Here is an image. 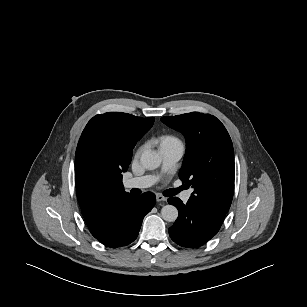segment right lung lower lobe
<instances>
[{
  "instance_id": "obj_1",
  "label": "right lung lower lobe",
  "mask_w": 307,
  "mask_h": 307,
  "mask_svg": "<svg viewBox=\"0 0 307 307\" xmlns=\"http://www.w3.org/2000/svg\"><path fill=\"white\" fill-rule=\"evenodd\" d=\"M154 204L155 196L151 192L135 196L126 207L112 234L99 241L108 247L114 248L133 242L138 236L143 218L151 211Z\"/></svg>"
}]
</instances>
